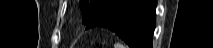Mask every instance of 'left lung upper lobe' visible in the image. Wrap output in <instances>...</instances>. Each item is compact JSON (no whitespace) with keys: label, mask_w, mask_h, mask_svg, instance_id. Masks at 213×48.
Segmentation results:
<instances>
[{"label":"left lung upper lobe","mask_w":213,"mask_h":48,"mask_svg":"<svg viewBox=\"0 0 213 48\" xmlns=\"http://www.w3.org/2000/svg\"><path fill=\"white\" fill-rule=\"evenodd\" d=\"M110 0H79L83 14V22L87 23L95 13Z\"/></svg>","instance_id":"1"}]
</instances>
